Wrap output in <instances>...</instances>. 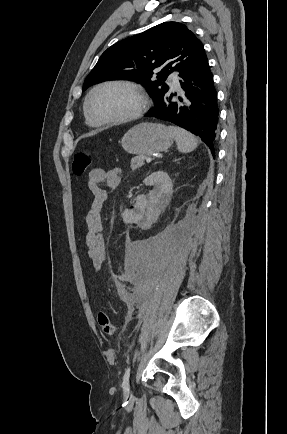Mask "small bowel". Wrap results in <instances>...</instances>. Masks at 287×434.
Instances as JSON below:
<instances>
[{"label": "small bowel", "instance_id": "obj_1", "mask_svg": "<svg viewBox=\"0 0 287 434\" xmlns=\"http://www.w3.org/2000/svg\"><path fill=\"white\" fill-rule=\"evenodd\" d=\"M121 182V171L117 168H94L89 172L88 188L92 194V201L85 215L86 234L85 248L92 266L99 270L105 260L106 248L102 235V209L107 199L104 186L116 189Z\"/></svg>", "mask_w": 287, "mask_h": 434}]
</instances>
